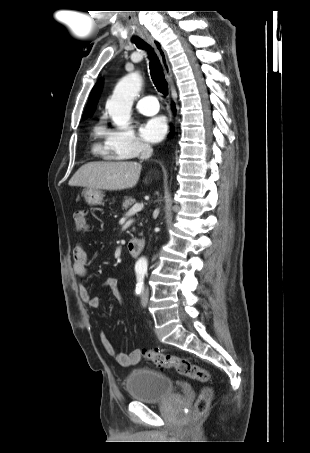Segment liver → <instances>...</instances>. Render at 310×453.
Wrapping results in <instances>:
<instances>
[{
	"label": "liver",
	"mask_w": 310,
	"mask_h": 453,
	"mask_svg": "<svg viewBox=\"0 0 310 453\" xmlns=\"http://www.w3.org/2000/svg\"><path fill=\"white\" fill-rule=\"evenodd\" d=\"M142 166L132 161L89 162L81 166L69 180V186L90 189L124 190L136 186Z\"/></svg>",
	"instance_id": "1"
}]
</instances>
